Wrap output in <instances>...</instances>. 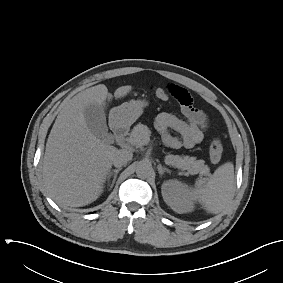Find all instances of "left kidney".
Returning <instances> with one entry per match:
<instances>
[{
    "instance_id": "1",
    "label": "left kidney",
    "mask_w": 283,
    "mask_h": 283,
    "mask_svg": "<svg viewBox=\"0 0 283 283\" xmlns=\"http://www.w3.org/2000/svg\"><path fill=\"white\" fill-rule=\"evenodd\" d=\"M162 196L171 209L179 214L191 212L194 202L187 186L178 180H167L162 184Z\"/></svg>"
}]
</instances>
